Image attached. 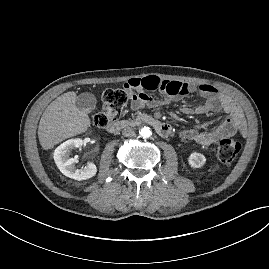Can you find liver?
<instances>
[{
	"instance_id": "6515ba94",
	"label": "liver",
	"mask_w": 269,
	"mask_h": 269,
	"mask_svg": "<svg viewBox=\"0 0 269 269\" xmlns=\"http://www.w3.org/2000/svg\"><path fill=\"white\" fill-rule=\"evenodd\" d=\"M76 99V92L69 91L57 97L45 109L38 126V138L44 150L89 128L90 118L76 106Z\"/></svg>"
}]
</instances>
